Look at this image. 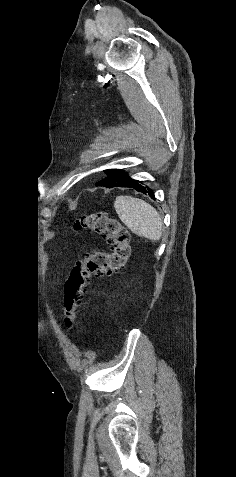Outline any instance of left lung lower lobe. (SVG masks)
Segmentation results:
<instances>
[{"label": "left lung lower lobe", "mask_w": 236, "mask_h": 477, "mask_svg": "<svg viewBox=\"0 0 236 477\" xmlns=\"http://www.w3.org/2000/svg\"><path fill=\"white\" fill-rule=\"evenodd\" d=\"M142 184L143 183L141 181L129 177L125 182L118 183L114 187L132 188L143 194H148L151 198H155L153 190L148 186H143Z\"/></svg>", "instance_id": "1"}]
</instances>
